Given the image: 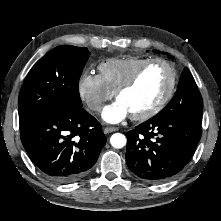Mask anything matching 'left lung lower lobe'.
Returning <instances> with one entry per match:
<instances>
[{
  "mask_svg": "<svg viewBox=\"0 0 221 221\" xmlns=\"http://www.w3.org/2000/svg\"><path fill=\"white\" fill-rule=\"evenodd\" d=\"M201 137V124L160 111L127 133L126 164L139 178L163 182L190 161Z\"/></svg>",
  "mask_w": 221,
  "mask_h": 221,
  "instance_id": "1",
  "label": "left lung lower lobe"
}]
</instances>
